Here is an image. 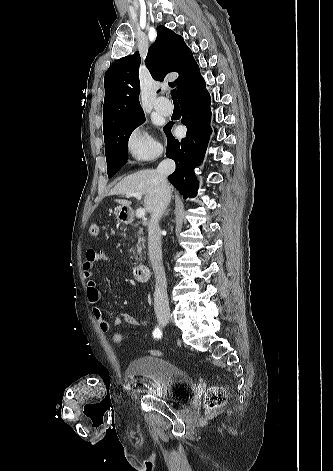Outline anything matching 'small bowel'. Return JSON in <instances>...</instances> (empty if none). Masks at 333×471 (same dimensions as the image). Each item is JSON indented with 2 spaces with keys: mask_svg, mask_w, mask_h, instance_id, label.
<instances>
[{
  "mask_svg": "<svg viewBox=\"0 0 333 471\" xmlns=\"http://www.w3.org/2000/svg\"><path fill=\"white\" fill-rule=\"evenodd\" d=\"M101 260L109 261L111 258L104 251H96L93 249L88 250L86 253V259L83 263V276L87 282V299L92 307L93 316L98 324L99 329L102 332H108L111 329V324L107 320L102 309L99 307L101 292L98 289L97 283L93 277L95 263ZM122 324L140 326L146 325L147 322H140L131 314L119 313L114 318L113 325L120 326Z\"/></svg>",
  "mask_w": 333,
  "mask_h": 471,
  "instance_id": "small-bowel-1",
  "label": "small bowel"
}]
</instances>
